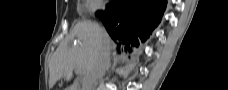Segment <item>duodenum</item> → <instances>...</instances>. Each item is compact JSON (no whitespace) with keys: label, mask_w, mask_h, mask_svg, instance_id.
Here are the masks:
<instances>
[{"label":"duodenum","mask_w":228,"mask_h":90,"mask_svg":"<svg viewBox=\"0 0 228 90\" xmlns=\"http://www.w3.org/2000/svg\"><path fill=\"white\" fill-rule=\"evenodd\" d=\"M71 90H78L77 88H75L74 86H72Z\"/></svg>","instance_id":"obj_1"}]
</instances>
